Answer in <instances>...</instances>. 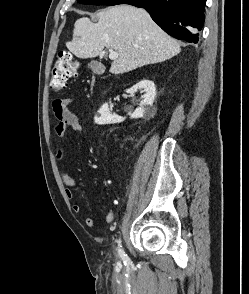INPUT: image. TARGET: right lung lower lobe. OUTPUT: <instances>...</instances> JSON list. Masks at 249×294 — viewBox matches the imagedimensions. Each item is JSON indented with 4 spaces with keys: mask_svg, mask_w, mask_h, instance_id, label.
Wrapping results in <instances>:
<instances>
[{
    "mask_svg": "<svg viewBox=\"0 0 249 294\" xmlns=\"http://www.w3.org/2000/svg\"><path fill=\"white\" fill-rule=\"evenodd\" d=\"M206 0H121L146 9L151 18L169 35L197 43L203 27Z\"/></svg>",
    "mask_w": 249,
    "mask_h": 294,
    "instance_id": "right-lung-lower-lobe-1",
    "label": "right lung lower lobe"
}]
</instances>
